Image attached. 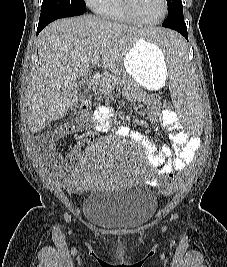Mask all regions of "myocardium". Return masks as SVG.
<instances>
[{"mask_svg": "<svg viewBox=\"0 0 227 267\" xmlns=\"http://www.w3.org/2000/svg\"><path fill=\"white\" fill-rule=\"evenodd\" d=\"M134 0H120V4L124 13L133 21L142 25H157L161 23L167 16L168 13V1L162 0L163 12L159 19L154 21H146L141 19L136 13L134 6Z\"/></svg>", "mask_w": 227, "mask_h": 267, "instance_id": "f54148a6", "label": "myocardium"}]
</instances>
